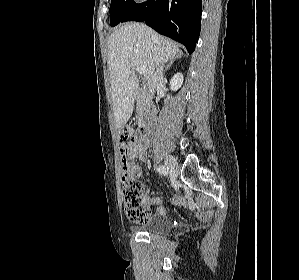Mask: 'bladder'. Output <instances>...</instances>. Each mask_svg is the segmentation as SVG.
I'll return each instance as SVG.
<instances>
[{"label":"bladder","mask_w":299,"mask_h":280,"mask_svg":"<svg viewBox=\"0 0 299 280\" xmlns=\"http://www.w3.org/2000/svg\"><path fill=\"white\" fill-rule=\"evenodd\" d=\"M171 223L164 216H156L151 218L144 226L141 227V231L148 234H163L170 230Z\"/></svg>","instance_id":"1"}]
</instances>
